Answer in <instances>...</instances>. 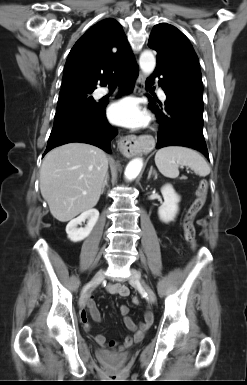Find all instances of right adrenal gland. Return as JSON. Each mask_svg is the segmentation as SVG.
<instances>
[{
	"label": "right adrenal gland",
	"instance_id": "1",
	"mask_svg": "<svg viewBox=\"0 0 247 385\" xmlns=\"http://www.w3.org/2000/svg\"><path fill=\"white\" fill-rule=\"evenodd\" d=\"M108 181H109V175H107L104 179V182H103V185H102V190H101V194H103L104 190H105V186H108Z\"/></svg>",
	"mask_w": 247,
	"mask_h": 385
}]
</instances>
